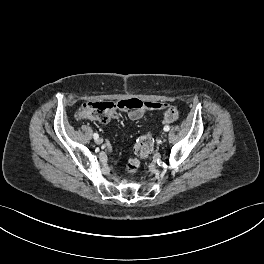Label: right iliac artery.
I'll return each instance as SVG.
<instances>
[{"mask_svg": "<svg viewBox=\"0 0 264 264\" xmlns=\"http://www.w3.org/2000/svg\"><path fill=\"white\" fill-rule=\"evenodd\" d=\"M93 137H94V139H97L99 137V135L97 133H94Z\"/></svg>", "mask_w": 264, "mask_h": 264, "instance_id": "1", "label": "right iliac artery"}]
</instances>
